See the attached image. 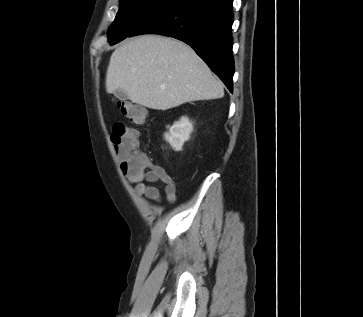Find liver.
<instances>
[{"label": "liver", "mask_w": 363, "mask_h": 317, "mask_svg": "<svg viewBox=\"0 0 363 317\" xmlns=\"http://www.w3.org/2000/svg\"><path fill=\"white\" fill-rule=\"evenodd\" d=\"M116 90L133 103L156 110L224 96L222 82L193 49L159 35L131 38L112 53L106 91Z\"/></svg>", "instance_id": "1"}]
</instances>
